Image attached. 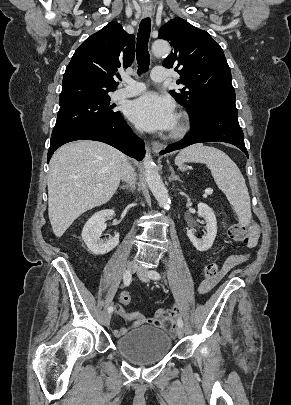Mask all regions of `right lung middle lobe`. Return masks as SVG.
I'll return each instance as SVG.
<instances>
[{
    "label": "right lung middle lobe",
    "instance_id": "dd1d6c3e",
    "mask_svg": "<svg viewBox=\"0 0 291 405\" xmlns=\"http://www.w3.org/2000/svg\"><path fill=\"white\" fill-rule=\"evenodd\" d=\"M59 105L52 136L81 125L106 124L120 115L112 110L109 96L69 99L60 101Z\"/></svg>",
    "mask_w": 291,
    "mask_h": 405
}]
</instances>
